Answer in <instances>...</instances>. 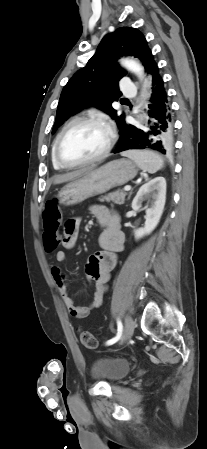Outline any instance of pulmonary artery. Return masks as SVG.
<instances>
[{
	"mask_svg": "<svg viewBox=\"0 0 207 449\" xmlns=\"http://www.w3.org/2000/svg\"><path fill=\"white\" fill-rule=\"evenodd\" d=\"M123 94L127 97H134L136 94V88L132 83H127L123 89Z\"/></svg>",
	"mask_w": 207,
	"mask_h": 449,
	"instance_id": "obj_1",
	"label": "pulmonary artery"
}]
</instances>
